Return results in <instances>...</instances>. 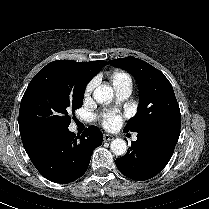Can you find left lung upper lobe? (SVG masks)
I'll return each instance as SVG.
<instances>
[{
  "instance_id": "1",
  "label": "left lung upper lobe",
  "mask_w": 209,
  "mask_h": 209,
  "mask_svg": "<svg viewBox=\"0 0 209 209\" xmlns=\"http://www.w3.org/2000/svg\"><path fill=\"white\" fill-rule=\"evenodd\" d=\"M108 63L130 72L139 87L137 114L127 123L123 131L180 130L179 105L172 85L163 73L135 57L114 59Z\"/></svg>"
}]
</instances>
